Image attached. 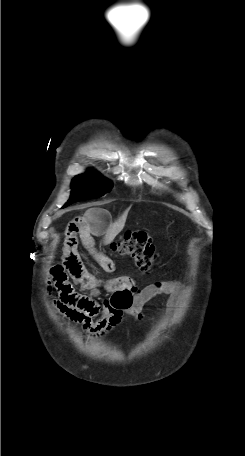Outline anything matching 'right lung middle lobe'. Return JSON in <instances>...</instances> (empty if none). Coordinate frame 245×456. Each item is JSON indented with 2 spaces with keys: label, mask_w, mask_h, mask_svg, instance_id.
I'll return each instance as SVG.
<instances>
[{
  "label": "right lung middle lobe",
  "mask_w": 245,
  "mask_h": 456,
  "mask_svg": "<svg viewBox=\"0 0 245 456\" xmlns=\"http://www.w3.org/2000/svg\"><path fill=\"white\" fill-rule=\"evenodd\" d=\"M71 187V198L66 206L77 201L101 197L111 191L112 183L97 173L88 172L73 178Z\"/></svg>",
  "instance_id": "right-lung-middle-lobe-1"
}]
</instances>
